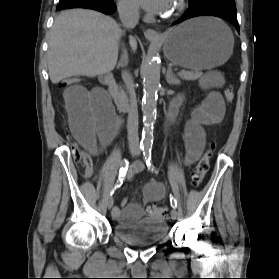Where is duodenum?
<instances>
[{"label":"duodenum","instance_id":"obj_1","mask_svg":"<svg viewBox=\"0 0 279 279\" xmlns=\"http://www.w3.org/2000/svg\"><path fill=\"white\" fill-rule=\"evenodd\" d=\"M102 79L105 81L108 89V94L109 96H111L116 106L124 111L129 110V103L119 94L114 78L110 75H104Z\"/></svg>","mask_w":279,"mask_h":279}]
</instances>
